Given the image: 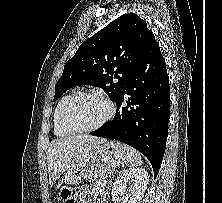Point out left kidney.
<instances>
[{"instance_id": "1", "label": "left kidney", "mask_w": 222, "mask_h": 203, "mask_svg": "<svg viewBox=\"0 0 222 203\" xmlns=\"http://www.w3.org/2000/svg\"><path fill=\"white\" fill-rule=\"evenodd\" d=\"M148 178V172L143 168L124 170L113 184V200L118 202V196H121V203H140L147 188Z\"/></svg>"}]
</instances>
